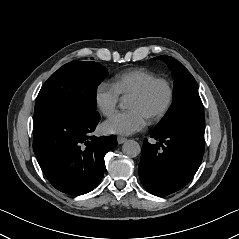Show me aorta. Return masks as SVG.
I'll return each mask as SVG.
<instances>
[{
  "label": "aorta",
  "mask_w": 239,
  "mask_h": 239,
  "mask_svg": "<svg viewBox=\"0 0 239 239\" xmlns=\"http://www.w3.org/2000/svg\"><path fill=\"white\" fill-rule=\"evenodd\" d=\"M122 151L123 153L128 157H137L141 152V147L139 143L135 140H127L122 145Z\"/></svg>",
  "instance_id": "obj_1"
}]
</instances>
